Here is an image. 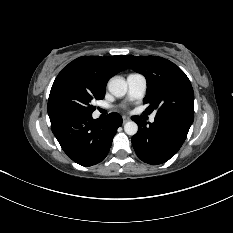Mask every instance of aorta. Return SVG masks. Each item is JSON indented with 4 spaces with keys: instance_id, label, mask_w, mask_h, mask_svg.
I'll list each match as a JSON object with an SVG mask.
<instances>
[{
    "instance_id": "762f6f07",
    "label": "aorta",
    "mask_w": 233,
    "mask_h": 233,
    "mask_svg": "<svg viewBox=\"0 0 233 233\" xmlns=\"http://www.w3.org/2000/svg\"><path fill=\"white\" fill-rule=\"evenodd\" d=\"M108 90L115 97H123L127 93L128 85L124 79L114 77L108 82ZM124 131L133 136L138 131V125L134 121H129L124 125Z\"/></svg>"
}]
</instances>
